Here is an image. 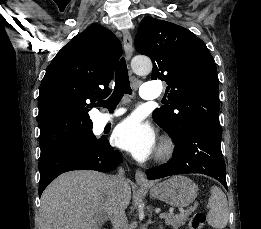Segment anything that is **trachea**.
I'll return each instance as SVG.
<instances>
[{"instance_id":"3493384b","label":"trachea","mask_w":261,"mask_h":229,"mask_svg":"<svg viewBox=\"0 0 261 229\" xmlns=\"http://www.w3.org/2000/svg\"><path fill=\"white\" fill-rule=\"evenodd\" d=\"M130 81L128 77V69L124 58H122L117 66L115 73V88L111 97L107 100H98L95 104L99 107H107L109 111H113L124 94H131Z\"/></svg>"}]
</instances>
